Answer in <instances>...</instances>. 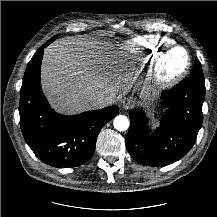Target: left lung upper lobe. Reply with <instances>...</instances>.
<instances>
[{
  "label": "left lung upper lobe",
  "instance_id": "left-lung-upper-lobe-1",
  "mask_svg": "<svg viewBox=\"0 0 217 217\" xmlns=\"http://www.w3.org/2000/svg\"><path fill=\"white\" fill-rule=\"evenodd\" d=\"M190 78L195 80L200 86H205V78L202 71V66L199 60H196L193 70L190 73Z\"/></svg>",
  "mask_w": 217,
  "mask_h": 217
}]
</instances>
